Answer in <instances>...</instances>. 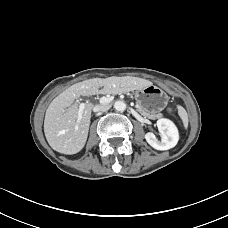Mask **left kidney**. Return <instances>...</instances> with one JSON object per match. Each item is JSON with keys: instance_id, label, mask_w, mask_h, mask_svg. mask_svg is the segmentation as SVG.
I'll use <instances>...</instances> for the list:
<instances>
[{"instance_id": "1", "label": "left kidney", "mask_w": 228, "mask_h": 228, "mask_svg": "<svg viewBox=\"0 0 228 228\" xmlns=\"http://www.w3.org/2000/svg\"><path fill=\"white\" fill-rule=\"evenodd\" d=\"M157 127L161 140L159 141L154 133L148 132L145 134L148 144L156 150H169L175 147L179 140V133L175 124L169 119L161 118L157 120Z\"/></svg>"}]
</instances>
